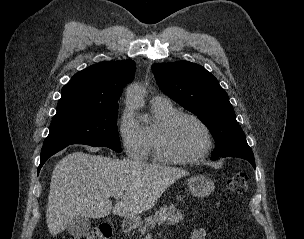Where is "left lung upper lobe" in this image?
<instances>
[{"label":"left lung upper lobe","instance_id":"1","mask_svg":"<svg viewBox=\"0 0 304 239\" xmlns=\"http://www.w3.org/2000/svg\"><path fill=\"white\" fill-rule=\"evenodd\" d=\"M152 70L159 88L210 129L217 146L213 159H254L227 93L210 72L188 61L157 63Z\"/></svg>","mask_w":304,"mask_h":239}]
</instances>
